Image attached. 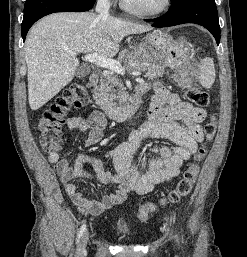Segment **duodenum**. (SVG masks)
<instances>
[{"mask_svg":"<svg viewBox=\"0 0 247 257\" xmlns=\"http://www.w3.org/2000/svg\"><path fill=\"white\" fill-rule=\"evenodd\" d=\"M98 80L99 75L96 72L90 74L89 84L91 87H94L98 83ZM146 91L147 89L144 84L138 85L130 99L120 106L106 105L98 98L97 95H94V100L96 106L110 119L122 121L135 115L139 109L141 97Z\"/></svg>","mask_w":247,"mask_h":257,"instance_id":"1","label":"duodenum"}]
</instances>
